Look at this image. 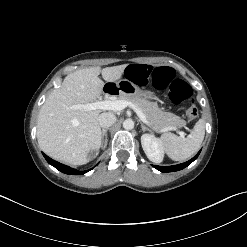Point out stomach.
Here are the masks:
<instances>
[{
  "label": "stomach",
  "instance_id": "obj_1",
  "mask_svg": "<svg viewBox=\"0 0 247 247\" xmlns=\"http://www.w3.org/2000/svg\"><path fill=\"white\" fill-rule=\"evenodd\" d=\"M120 94L132 96V97H144L149 100L155 99V93L151 91H143L137 87L136 84L124 80L120 81L118 84Z\"/></svg>",
  "mask_w": 247,
  "mask_h": 247
}]
</instances>
